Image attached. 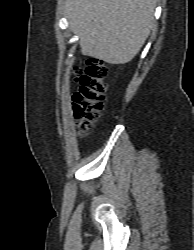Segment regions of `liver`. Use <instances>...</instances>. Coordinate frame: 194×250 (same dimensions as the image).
<instances>
[{
	"label": "liver",
	"instance_id": "liver-1",
	"mask_svg": "<svg viewBox=\"0 0 194 250\" xmlns=\"http://www.w3.org/2000/svg\"><path fill=\"white\" fill-rule=\"evenodd\" d=\"M156 0H66L81 53L109 64L131 61L154 24Z\"/></svg>",
	"mask_w": 194,
	"mask_h": 250
}]
</instances>
